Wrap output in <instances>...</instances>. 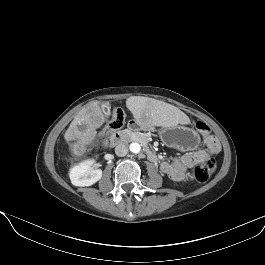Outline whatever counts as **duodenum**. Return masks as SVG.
Returning <instances> with one entry per match:
<instances>
[{"label": "duodenum", "instance_id": "1", "mask_svg": "<svg viewBox=\"0 0 265 265\" xmlns=\"http://www.w3.org/2000/svg\"><path fill=\"white\" fill-rule=\"evenodd\" d=\"M132 133L130 131H120V132H115L112 134L111 138H110V143L111 145L115 146L118 145L119 143H121L124 139H126L127 137H129ZM135 138L138 141H142L143 138L140 135H135ZM147 153H148V157L151 161L153 162H158V156L157 154L150 148H147Z\"/></svg>", "mask_w": 265, "mask_h": 265}]
</instances>
